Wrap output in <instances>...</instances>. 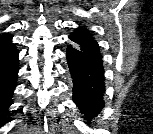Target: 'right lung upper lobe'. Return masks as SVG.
<instances>
[{"label": "right lung upper lobe", "instance_id": "cb5924a9", "mask_svg": "<svg viewBox=\"0 0 153 134\" xmlns=\"http://www.w3.org/2000/svg\"><path fill=\"white\" fill-rule=\"evenodd\" d=\"M11 40L12 36L7 34L0 35V47L10 44Z\"/></svg>", "mask_w": 153, "mask_h": 134}]
</instances>
